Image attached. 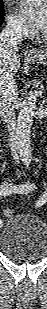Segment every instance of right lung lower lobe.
Here are the masks:
<instances>
[{
	"label": "right lung lower lobe",
	"mask_w": 47,
	"mask_h": 309,
	"mask_svg": "<svg viewBox=\"0 0 47 309\" xmlns=\"http://www.w3.org/2000/svg\"><path fill=\"white\" fill-rule=\"evenodd\" d=\"M3 22V16L0 17V25L2 24Z\"/></svg>",
	"instance_id": "obj_1"
}]
</instances>
